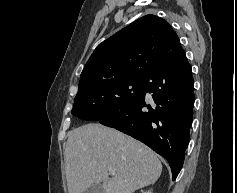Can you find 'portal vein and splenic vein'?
<instances>
[{
  "mask_svg": "<svg viewBox=\"0 0 237 193\" xmlns=\"http://www.w3.org/2000/svg\"><path fill=\"white\" fill-rule=\"evenodd\" d=\"M108 170H109V172H110L112 175H115V174H116V172H115V170H114L113 168H109Z\"/></svg>",
  "mask_w": 237,
  "mask_h": 193,
  "instance_id": "1",
  "label": "portal vein and splenic vein"
}]
</instances>
